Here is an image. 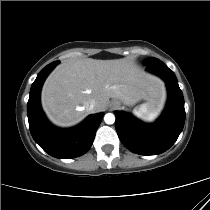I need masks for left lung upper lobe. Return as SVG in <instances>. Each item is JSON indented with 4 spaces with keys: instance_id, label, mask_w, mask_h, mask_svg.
<instances>
[{
    "instance_id": "left-lung-upper-lobe-1",
    "label": "left lung upper lobe",
    "mask_w": 210,
    "mask_h": 210,
    "mask_svg": "<svg viewBox=\"0 0 210 210\" xmlns=\"http://www.w3.org/2000/svg\"><path fill=\"white\" fill-rule=\"evenodd\" d=\"M157 60L158 59H156V58H147V59L143 60V64L144 65H148V64L153 63V62H155Z\"/></svg>"
}]
</instances>
